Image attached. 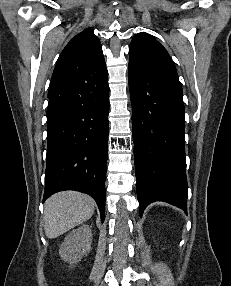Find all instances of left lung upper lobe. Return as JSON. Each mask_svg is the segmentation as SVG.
Instances as JSON below:
<instances>
[{"label": "left lung upper lobe", "mask_w": 231, "mask_h": 286, "mask_svg": "<svg viewBox=\"0 0 231 286\" xmlns=\"http://www.w3.org/2000/svg\"><path fill=\"white\" fill-rule=\"evenodd\" d=\"M129 63L150 73L178 80L176 67L166 49L147 33H138L129 46Z\"/></svg>", "instance_id": "5c2ea615"}]
</instances>
